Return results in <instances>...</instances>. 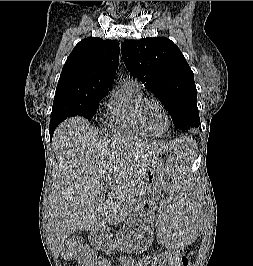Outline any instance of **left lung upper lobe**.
Returning <instances> with one entry per match:
<instances>
[{"mask_svg":"<svg viewBox=\"0 0 253 266\" xmlns=\"http://www.w3.org/2000/svg\"><path fill=\"white\" fill-rule=\"evenodd\" d=\"M122 58L130 74L159 98L179 130L198 127L193 72L180 49L164 37L127 40Z\"/></svg>","mask_w":253,"mask_h":266,"instance_id":"obj_1","label":"left lung upper lobe"}]
</instances>
